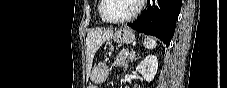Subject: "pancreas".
I'll return each mask as SVG.
<instances>
[{
    "label": "pancreas",
    "mask_w": 227,
    "mask_h": 88,
    "mask_svg": "<svg viewBox=\"0 0 227 88\" xmlns=\"http://www.w3.org/2000/svg\"><path fill=\"white\" fill-rule=\"evenodd\" d=\"M125 50L120 51L114 60L115 66H123L126 63L127 56L124 55Z\"/></svg>",
    "instance_id": "obj_1"
}]
</instances>
